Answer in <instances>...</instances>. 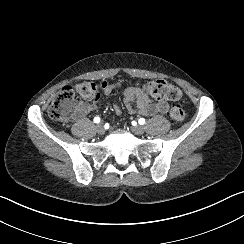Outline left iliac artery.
I'll use <instances>...</instances> for the list:
<instances>
[{
	"mask_svg": "<svg viewBox=\"0 0 244 244\" xmlns=\"http://www.w3.org/2000/svg\"><path fill=\"white\" fill-rule=\"evenodd\" d=\"M138 122H139V124L143 125L145 123V119L144 118H140Z\"/></svg>",
	"mask_w": 244,
	"mask_h": 244,
	"instance_id": "obj_1",
	"label": "left iliac artery"
}]
</instances>
